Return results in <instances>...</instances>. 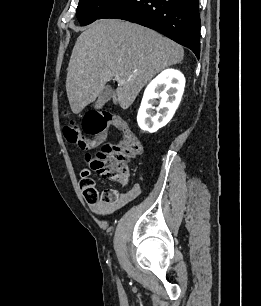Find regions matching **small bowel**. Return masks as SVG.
Listing matches in <instances>:
<instances>
[{
    "label": "small bowel",
    "mask_w": 261,
    "mask_h": 306,
    "mask_svg": "<svg viewBox=\"0 0 261 306\" xmlns=\"http://www.w3.org/2000/svg\"><path fill=\"white\" fill-rule=\"evenodd\" d=\"M95 146H98V143H96ZM140 193H141L140 186L134 185L128 191L118 194L114 202L112 203H103V202L94 203V204H91V209L93 210V212L99 215H111L116 210L121 209L122 207L126 206L128 203L136 199L140 195Z\"/></svg>",
    "instance_id": "obj_1"
}]
</instances>
